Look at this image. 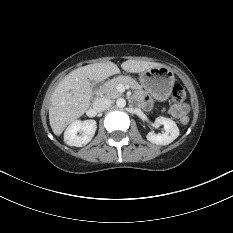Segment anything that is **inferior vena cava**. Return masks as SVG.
I'll list each match as a JSON object with an SVG mask.
<instances>
[{"instance_id":"inferior-vena-cava-1","label":"inferior vena cava","mask_w":233,"mask_h":233,"mask_svg":"<svg viewBox=\"0 0 233 233\" xmlns=\"http://www.w3.org/2000/svg\"><path fill=\"white\" fill-rule=\"evenodd\" d=\"M112 104V101L108 98H98L93 103V109L97 112H102L108 109Z\"/></svg>"}]
</instances>
